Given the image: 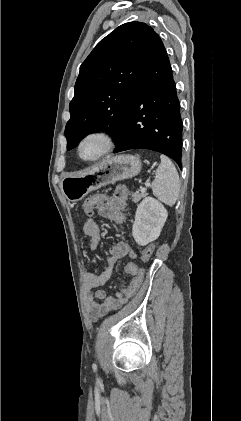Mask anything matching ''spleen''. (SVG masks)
<instances>
[{
    "label": "spleen",
    "mask_w": 241,
    "mask_h": 421,
    "mask_svg": "<svg viewBox=\"0 0 241 421\" xmlns=\"http://www.w3.org/2000/svg\"><path fill=\"white\" fill-rule=\"evenodd\" d=\"M155 179L152 182L153 194L168 206H173L179 196L180 181L178 172L172 161L165 155L160 156Z\"/></svg>",
    "instance_id": "3e777b00"
}]
</instances>
